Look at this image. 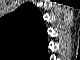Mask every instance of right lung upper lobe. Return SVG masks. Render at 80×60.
<instances>
[{
  "mask_svg": "<svg viewBox=\"0 0 80 60\" xmlns=\"http://www.w3.org/2000/svg\"><path fill=\"white\" fill-rule=\"evenodd\" d=\"M0 27L1 44L6 51L28 57L47 46L42 15L31 3H26L4 16L0 20Z\"/></svg>",
  "mask_w": 80,
  "mask_h": 60,
  "instance_id": "1",
  "label": "right lung upper lobe"
}]
</instances>
